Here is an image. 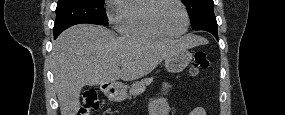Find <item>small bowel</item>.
<instances>
[{
    "mask_svg": "<svg viewBox=\"0 0 285 115\" xmlns=\"http://www.w3.org/2000/svg\"><path fill=\"white\" fill-rule=\"evenodd\" d=\"M170 85H165L161 92L157 94L151 101L150 114L151 115H168L169 104L167 94L170 90ZM206 112L202 107H195L191 110L189 115H205Z\"/></svg>",
    "mask_w": 285,
    "mask_h": 115,
    "instance_id": "1",
    "label": "small bowel"
}]
</instances>
